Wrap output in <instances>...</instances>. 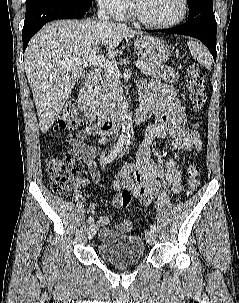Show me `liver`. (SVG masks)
<instances>
[{
  "mask_svg": "<svg viewBox=\"0 0 239 303\" xmlns=\"http://www.w3.org/2000/svg\"><path fill=\"white\" fill-rule=\"evenodd\" d=\"M135 34L141 32L112 21L57 20L47 23L30 40L24 67L43 133L53 125L82 74L81 65L74 60L89 56L93 49L98 50V44L114 57L120 42Z\"/></svg>",
  "mask_w": 239,
  "mask_h": 303,
  "instance_id": "liver-1",
  "label": "liver"
}]
</instances>
